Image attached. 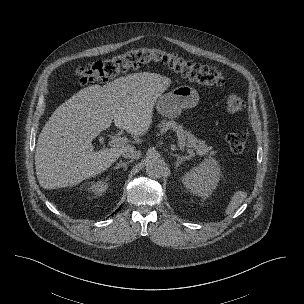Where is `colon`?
<instances>
[{
  "instance_id": "obj_1",
  "label": "colon",
  "mask_w": 304,
  "mask_h": 304,
  "mask_svg": "<svg viewBox=\"0 0 304 304\" xmlns=\"http://www.w3.org/2000/svg\"><path fill=\"white\" fill-rule=\"evenodd\" d=\"M150 63H160L191 82L203 86L225 87L227 85L223 72L216 68L200 65L180 57L178 54L157 48L140 47L108 59L81 66L75 71V79L79 85L94 82H105L126 71L140 68ZM245 107V100L238 94L230 93L225 99L228 113H238ZM226 141L234 153H242L247 144V134L242 131L230 132Z\"/></svg>"
}]
</instances>
